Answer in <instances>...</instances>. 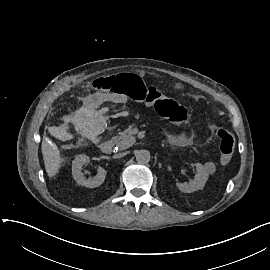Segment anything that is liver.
Listing matches in <instances>:
<instances>
[{
  "instance_id": "1",
  "label": "liver",
  "mask_w": 270,
  "mask_h": 270,
  "mask_svg": "<svg viewBox=\"0 0 270 270\" xmlns=\"http://www.w3.org/2000/svg\"><path fill=\"white\" fill-rule=\"evenodd\" d=\"M41 149L46 173L50 180L56 181L58 179L61 164L64 160L61 156V152L57 145L50 144L46 140L45 135L42 141Z\"/></svg>"
}]
</instances>
